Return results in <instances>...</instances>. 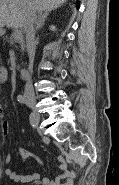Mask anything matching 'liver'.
I'll return each instance as SVG.
<instances>
[{
  "mask_svg": "<svg viewBox=\"0 0 119 185\" xmlns=\"http://www.w3.org/2000/svg\"><path fill=\"white\" fill-rule=\"evenodd\" d=\"M66 0H0V28L7 25L9 28L23 27L26 5L34 11H51Z\"/></svg>",
  "mask_w": 119,
  "mask_h": 185,
  "instance_id": "6515ba94",
  "label": "liver"
}]
</instances>
